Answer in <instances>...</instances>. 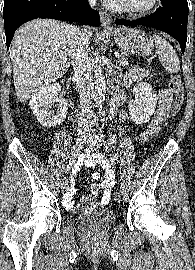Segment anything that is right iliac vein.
Wrapping results in <instances>:
<instances>
[{
	"mask_svg": "<svg viewBox=\"0 0 195 270\" xmlns=\"http://www.w3.org/2000/svg\"><path fill=\"white\" fill-rule=\"evenodd\" d=\"M87 138V132L85 131H79L77 133V138H76V143L78 145H80L81 143H83V141ZM61 187L64 191H66L69 187V179L65 178L61 184Z\"/></svg>",
	"mask_w": 195,
	"mask_h": 270,
	"instance_id": "1",
	"label": "right iliac vein"
}]
</instances>
